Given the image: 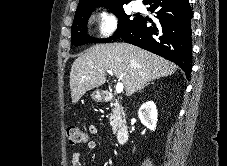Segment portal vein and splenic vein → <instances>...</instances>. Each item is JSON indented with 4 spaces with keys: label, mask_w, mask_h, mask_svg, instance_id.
I'll return each mask as SVG.
<instances>
[{
    "label": "portal vein and splenic vein",
    "mask_w": 227,
    "mask_h": 166,
    "mask_svg": "<svg viewBox=\"0 0 227 166\" xmlns=\"http://www.w3.org/2000/svg\"><path fill=\"white\" fill-rule=\"evenodd\" d=\"M107 73L113 76V73H112L111 70H107ZM123 88H124L123 83L118 82L117 85H116V93L117 94L122 93L123 92Z\"/></svg>",
    "instance_id": "1"
}]
</instances>
